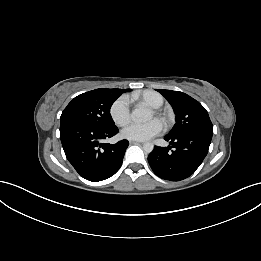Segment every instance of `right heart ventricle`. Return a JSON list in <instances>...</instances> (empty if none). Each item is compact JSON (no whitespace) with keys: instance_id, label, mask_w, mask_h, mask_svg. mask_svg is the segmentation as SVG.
Here are the masks:
<instances>
[{"instance_id":"e07e8e85","label":"right heart ventricle","mask_w":261,"mask_h":261,"mask_svg":"<svg viewBox=\"0 0 261 261\" xmlns=\"http://www.w3.org/2000/svg\"><path fill=\"white\" fill-rule=\"evenodd\" d=\"M133 97L140 99L152 108H159L164 102L163 97L159 93L151 90L144 91L140 94L134 95Z\"/></svg>"}]
</instances>
